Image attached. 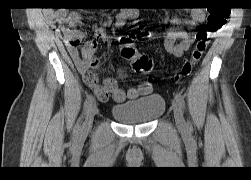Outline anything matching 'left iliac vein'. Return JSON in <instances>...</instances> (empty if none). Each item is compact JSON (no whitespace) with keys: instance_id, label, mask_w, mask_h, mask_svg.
<instances>
[{"instance_id":"1","label":"left iliac vein","mask_w":251,"mask_h":180,"mask_svg":"<svg viewBox=\"0 0 251 180\" xmlns=\"http://www.w3.org/2000/svg\"><path fill=\"white\" fill-rule=\"evenodd\" d=\"M173 112L177 128L180 131L186 130V122L183 116V112L176 102L173 103Z\"/></svg>"}]
</instances>
